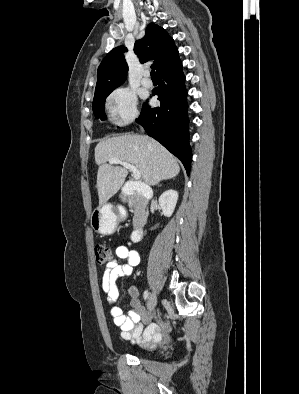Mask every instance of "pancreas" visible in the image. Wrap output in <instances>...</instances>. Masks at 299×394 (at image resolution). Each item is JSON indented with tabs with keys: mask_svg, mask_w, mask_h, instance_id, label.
Here are the masks:
<instances>
[{
	"mask_svg": "<svg viewBox=\"0 0 299 394\" xmlns=\"http://www.w3.org/2000/svg\"><path fill=\"white\" fill-rule=\"evenodd\" d=\"M129 206L133 208L134 212V218H133V224L136 225L137 219L139 216L143 215L145 213V207L141 203L138 195H134L128 200Z\"/></svg>",
	"mask_w": 299,
	"mask_h": 394,
	"instance_id": "cf45deb5",
	"label": "pancreas"
}]
</instances>
